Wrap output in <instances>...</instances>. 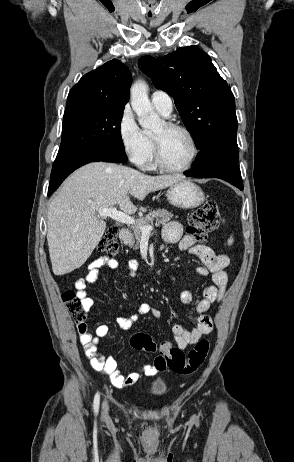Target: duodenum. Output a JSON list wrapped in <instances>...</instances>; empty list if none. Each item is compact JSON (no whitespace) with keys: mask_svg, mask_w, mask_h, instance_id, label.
<instances>
[{"mask_svg":"<svg viewBox=\"0 0 294 462\" xmlns=\"http://www.w3.org/2000/svg\"><path fill=\"white\" fill-rule=\"evenodd\" d=\"M129 236H130V230L128 228L124 227L120 229L119 231L120 240L125 241L128 239Z\"/></svg>","mask_w":294,"mask_h":462,"instance_id":"duodenum-1","label":"duodenum"}]
</instances>
